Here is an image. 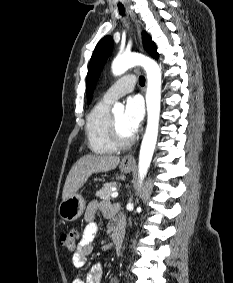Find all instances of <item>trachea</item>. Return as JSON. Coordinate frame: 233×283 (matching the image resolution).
<instances>
[{"instance_id": "1", "label": "trachea", "mask_w": 233, "mask_h": 283, "mask_svg": "<svg viewBox=\"0 0 233 283\" xmlns=\"http://www.w3.org/2000/svg\"><path fill=\"white\" fill-rule=\"evenodd\" d=\"M119 13L123 16L125 15V9L122 6H119ZM139 84L141 86L145 85V78L143 76L139 77Z\"/></svg>"}]
</instances>
